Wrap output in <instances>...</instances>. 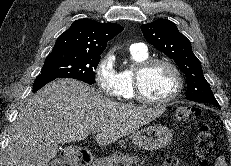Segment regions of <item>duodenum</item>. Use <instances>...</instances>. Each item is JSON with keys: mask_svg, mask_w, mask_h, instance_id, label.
Segmentation results:
<instances>
[{"mask_svg": "<svg viewBox=\"0 0 231 166\" xmlns=\"http://www.w3.org/2000/svg\"><path fill=\"white\" fill-rule=\"evenodd\" d=\"M64 161L69 166H90L92 156L87 151L68 150L64 153Z\"/></svg>", "mask_w": 231, "mask_h": 166, "instance_id": "1", "label": "duodenum"}]
</instances>
